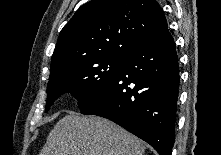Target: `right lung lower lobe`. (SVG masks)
I'll list each match as a JSON object with an SVG mask.
<instances>
[{
    "mask_svg": "<svg viewBox=\"0 0 221 155\" xmlns=\"http://www.w3.org/2000/svg\"><path fill=\"white\" fill-rule=\"evenodd\" d=\"M179 91L174 39L168 28L139 41L113 80L81 113L105 117L171 155Z\"/></svg>",
    "mask_w": 221,
    "mask_h": 155,
    "instance_id": "right-lung-lower-lobe-1",
    "label": "right lung lower lobe"
}]
</instances>
